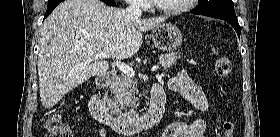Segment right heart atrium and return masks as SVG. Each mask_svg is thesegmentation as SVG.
Returning <instances> with one entry per match:
<instances>
[{"label": "right heart atrium", "instance_id": "1", "mask_svg": "<svg viewBox=\"0 0 280 137\" xmlns=\"http://www.w3.org/2000/svg\"><path fill=\"white\" fill-rule=\"evenodd\" d=\"M131 5L137 9H145L147 7L146 0H131Z\"/></svg>", "mask_w": 280, "mask_h": 137}]
</instances>
